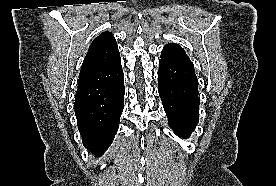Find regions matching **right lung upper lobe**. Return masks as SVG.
I'll return each mask as SVG.
<instances>
[{
  "label": "right lung upper lobe",
  "instance_id": "cb5924a9",
  "mask_svg": "<svg viewBox=\"0 0 276 186\" xmlns=\"http://www.w3.org/2000/svg\"><path fill=\"white\" fill-rule=\"evenodd\" d=\"M123 74L116 40L111 32L101 33L91 43L83 61L78 87L108 83Z\"/></svg>",
  "mask_w": 276,
  "mask_h": 186
}]
</instances>
